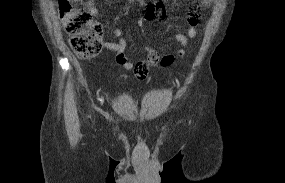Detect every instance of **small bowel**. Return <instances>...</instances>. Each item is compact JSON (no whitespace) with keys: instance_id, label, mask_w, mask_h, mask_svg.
Listing matches in <instances>:
<instances>
[{"instance_id":"c3829d8e","label":"small bowel","mask_w":285,"mask_h":183,"mask_svg":"<svg viewBox=\"0 0 285 183\" xmlns=\"http://www.w3.org/2000/svg\"><path fill=\"white\" fill-rule=\"evenodd\" d=\"M83 4V6L90 12L92 16L97 17L99 15V11L96 8V5L93 0H79ZM212 0H199V5L202 7H208L211 4ZM165 18V10L163 6L160 3H156L149 7L146 15L145 20L146 21H152V20H161ZM199 11L198 8L191 9L187 14V32L186 33H179L175 36V42L177 44V50L173 54H168L163 57H160L159 53L153 49L150 46L145 47L146 56L134 64L126 55V40L124 37H122V30L121 29H115L114 34L117 37H120L118 42L111 43L106 42L104 43V46L114 52L115 54V61L116 63L121 66L122 68L126 70L135 69L137 65H144L147 70L149 68H154L157 66H169L171 65L175 58L183 57L186 53V47L188 45V40L195 38L197 36V29L199 26ZM147 74L144 78H146ZM122 77H125L123 75ZM143 78V79H144Z\"/></svg>"}]
</instances>
